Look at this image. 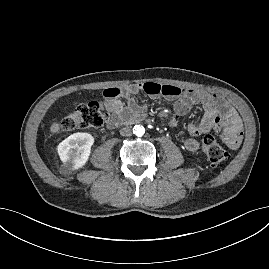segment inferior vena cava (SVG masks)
Returning a JSON list of instances; mask_svg holds the SVG:
<instances>
[{"instance_id": "obj_1", "label": "inferior vena cava", "mask_w": 269, "mask_h": 269, "mask_svg": "<svg viewBox=\"0 0 269 269\" xmlns=\"http://www.w3.org/2000/svg\"><path fill=\"white\" fill-rule=\"evenodd\" d=\"M120 134L122 136H131L132 135V130L129 128V127H123L121 130H120Z\"/></svg>"}]
</instances>
